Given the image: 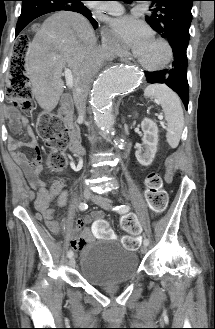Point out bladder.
I'll return each mask as SVG.
<instances>
[{
  "mask_svg": "<svg viewBox=\"0 0 215 329\" xmlns=\"http://www.w3.org/2000/svg\"><path fill=\"white\" fill-rule=\"evenodd\" d=\"M138 271L136 252L116 239L94 240L81 250L78 274L92 286L130 281Z\"/></svg>",
  "mask_w": 215,
  "mask_h": 329,
  "instance_id": "obj_1",
  "label": "bladder"
}]
</instances>
